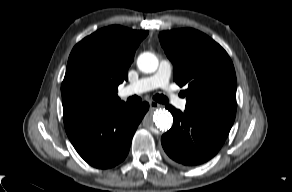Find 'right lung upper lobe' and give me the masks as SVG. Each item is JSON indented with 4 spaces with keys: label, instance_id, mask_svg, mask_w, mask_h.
I'll return each mask as SVG.
<instances>
[{
    "label": "right lung upper lobe",
    "instance_id": "cb5924a9",
    "mask_svg": "<svg viewBox=\"0 0 292 192\" xmlns=\"http://www.w3.org/2000/svg\"><path fill=\"white\" fill-rule=\"evenodd\" d=\"M148 31H136L119 25L102 28L81 40L72 49L62 82L63 111L107 110L123 104L117 96L118 85L127 80L135 50ZM83 78L95 88L85 104L75 103L69 94L72 83Z\"/></svg>",
    "mask_w": 292,
    "mask_h": 192
}]
</instances>
